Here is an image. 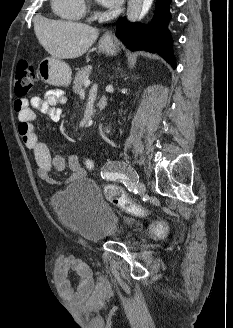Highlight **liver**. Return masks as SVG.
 Instances as JSON below:
<instances>
[{"mask_svg": "<svg viewBox=\"0 0 233 328\" xmlns=\"http://www.w3.org/2000/svg\"><path fill=\"white\" fill-rule=\"evenodd\" d=\"M34 30L43 48L58 59L82 56L99 35L97 29L83 23L50 20L41 16L35 17Z\"/></svg>", "mask_w": 233, "mask_h": 328, "instance_id": "liver-1", "label": "liver"}]
</instances>
